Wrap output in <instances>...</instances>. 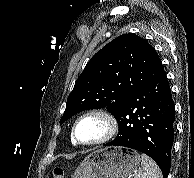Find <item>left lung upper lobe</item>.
Segmentation results:
<instances>
[{"label": "left lung upper lobe", "mask_w": 194, "mask_h": 178, "mask_svg": "<svg viewBox=\"0 0 194 178\" xmlns=\"http://www.w3.org/2000/svg\"><path fill=\"white\" fill-rule=\"evenodd\" d=\"M164 72L147 40L128 33L99 50L76 80L60 124L76 113L107 108L114 115L119 105Z\"/></svg>", "instance_id": "1"}]
</instances>
